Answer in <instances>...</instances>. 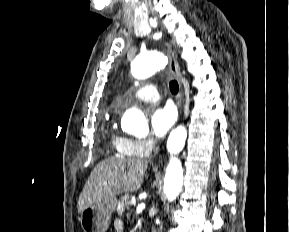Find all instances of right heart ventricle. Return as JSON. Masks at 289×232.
<instances>
[{"instance_id": "obj_1", "label": "right heart ventricle", "mask_w": 289, "mask_h": 232, "mask_svg": "<svg viewBox=\"0 0 289 232\" xmlns=\"http://www.w3.org/2000/svg\"><path fill=\"white\" fill-rule=\"evenodd\" d=\"M128 141L129 139L118 134L115 129L111 130L110 145L118 154L126 157L134 156L129 150Z\"/></svg>"}]
</instances>
